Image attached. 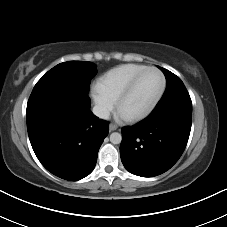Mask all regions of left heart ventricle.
Instances as JSON below:
<instances>
[{
  "label": "left heart ventricle",
  "instance_id": "1",
  "mask_svg": "<svg viewBox=\"0 0 227 227\" xmlns=\"http://www.w3.org/2000/svg\"><path fill=\"white\" fill-rule=\"evenodd\" d=\"M162 86V77L155 70L143 74L135 89L122 105L128 115L137 113L147 107L158 95Z\"/></svg>",
  "mask_w": 227,
  "mask_h": 227
}]
</instances>
